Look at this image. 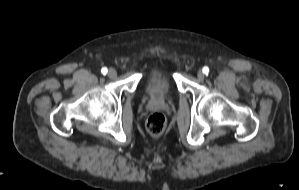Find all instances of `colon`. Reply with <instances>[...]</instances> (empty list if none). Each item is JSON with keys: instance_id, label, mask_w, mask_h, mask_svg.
Segmentation results:
<instances>
[{"instance_id": "colon-1", "label": "colon", "mask_w": 299, "mask_h": 190, "mask_svg": "<svg viewBox=\"0 0 299 190\" xmlns=\"http://www.w3.org/2000/svg\"><path fill=\"white\" fill-rule=\"evenodd\" d=\"M147 130L153 137H159L163 134L166 127V119L160 112H155L147 120Z\"/></svg>"}]
</instances>
